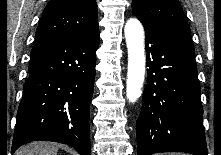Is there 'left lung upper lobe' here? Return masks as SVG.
Instances as JSON below:
<instances>
[{
    "instance_id": "left-lung-upper-lobe-1",
    "label": "left lung upper lobe",
    "mask_w": 221,
    "mask_h": 155,
    "mask_svg": "<svg viewBox=\"0 0 221 155\" xmlns=\"http://www.w3.org/2000/svg\"><path fill=\"white\" fill-rule=\"evenodd\" d=\"M132 10L139 20L192 43L190 27L178 0H133Z\"/></svg>"
}]
</instances>
